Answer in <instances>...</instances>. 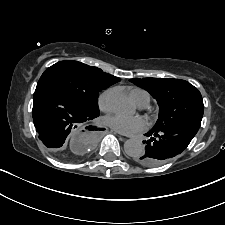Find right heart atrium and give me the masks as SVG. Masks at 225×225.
I'll return each instance as SVG.
<instances>
[{
  "instance_id": "obj_1",
  "label": "right heart atrium",
  "mask_w": 225,
  "mask_h": 225,
  "mask_svg": "<svg viewBox=\"0 0 225 225\" xmlns=\"http://www.w3.org/2000/svg\"><path fill=\"white\" fill-rule=\"evenodd\" d=\"M112 94L111 89L103 91L98 97V106L100 110L107 112L110 110V97Z\"/></svg>"
}]
</instances>
